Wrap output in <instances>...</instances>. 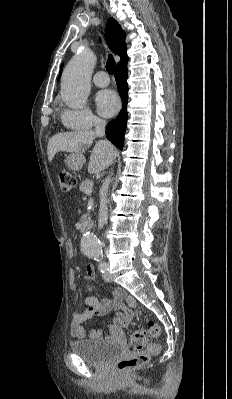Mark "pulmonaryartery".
I'll return each mask as SVG.
<instances>
[{
    "instance_id": "1",
    "label": "pulmonary artery",
    "mask_w": 232,
    "mask_h": 399,
    "mask_svg": "<svg viewBox=\"0 0 232 399\" xmlns=\"http://www.w3.org/2000/svg\"><path fill=\"white\" fill-rule=\"evenodd\" d=\"M97 75L98 77H94V83L96 85L95 90H105L106 86L109 84V77H107L103 69H98Z\"/></svg>"
}]
</instances>
